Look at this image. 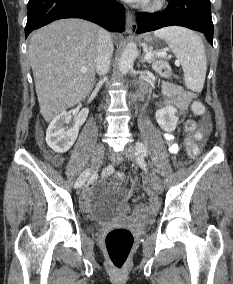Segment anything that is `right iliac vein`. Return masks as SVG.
I'll return each instance as SVG.
<instances>
[{"label":"right iliac vein","instance_id":"right-iliac-vein-1","mask_svg":"<svg viewBox=\"0 0 233 284\" xmlns=\"http://www.w3.org/2000/svg\"><path fill=\"white\" fill-rule=\"evenodd\" d=\"M104 145L103 143L99 142L97 143V145L95 146V149L93 151L92 157H91V168L92 170H97L100 164V161L103 157L104 154ZM86 187L85 183H81L80 187H77V189H75V194H82V192H84V188Z\"/></svg>","mask_w":233,"mask_h":284}]
</instances>
